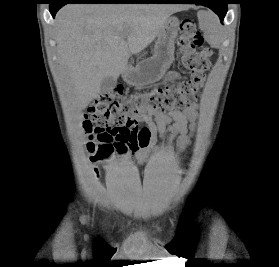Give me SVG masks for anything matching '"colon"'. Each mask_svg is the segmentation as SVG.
I'll list each match as a JSON object with an SVG mask.
<instances>
[{
    "mask_svg": "<svg viewBox=\"0 0 279 267\" xmlns=\"http://www.w3.org/2000/svg\"><path fill=\"white\" fill-rule=\"evenodd\" d=\"M178 45L181 65L191 75L189 80L126 95L117 86L101 94L88 108L83 125L93 162L106 161L114 152L123 154L130 145L145 143L148 133L144 129L137 131L133 124L136 117L149 112L180 110L197 97L211 51L204 47L203 36L193 20L180 21Z\"/></svg>",
    "mask_w": 279,
    "mask_h": 267,
    "instance_id": "colon-1",
    "label": "colon"
}]
</instances>
